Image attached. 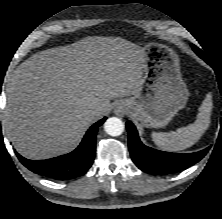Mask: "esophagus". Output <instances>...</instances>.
Returning <instances> with one entry per match:
<instances>
[{"mask_svg": "<svg viewBox=\"0 0 222 219\" xmlns=\"http://www.w3.org/2000/svg\"><path fill=\"white\" fill-rule=\"evenodd\" d=\"M115 114L122 117L125 114V109L122 105L117 106V108L114 110Z\"/></svg>", "mask_w": 222, "mask_h": 219, "instance_id": "34e87169", "label": "esophagus"}]
</instances>
